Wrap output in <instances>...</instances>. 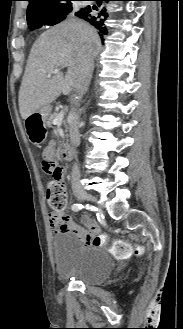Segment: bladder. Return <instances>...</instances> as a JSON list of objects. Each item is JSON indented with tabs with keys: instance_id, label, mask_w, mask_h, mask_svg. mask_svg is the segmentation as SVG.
I'll return each instance as SVG.
<instances>
[{
	"instance_id": "bladder-1",
	"label": "bladder",
	"mask_w": 183,
	"mask_h": 329,
	"mask_svg": "<svg viewBox=\"0 0 183 329\" xmlns=\"http://www.w3.org/2000/svg\"><path fill=\"white\" fill-rule=\"evenodd\" d=\"M58 275L86 285H99L111 274L114 263L109 253L96 245H83L72 232H59L52 240Z\"/></svg>"
}]
</instances>
